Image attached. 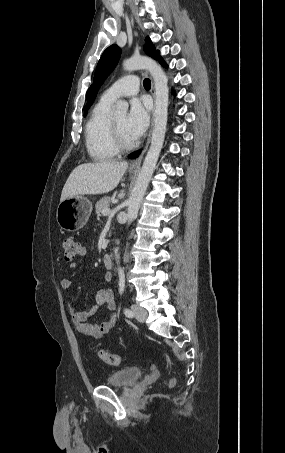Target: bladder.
Instances as JSON below:
<instances>
[{
	"label": "bladder",
	"mask_w": 285,
	"mask_h": 453,
	"mask_svg": "<svg viewBox=\"0 0 285 453\" xmlns=\"http://www.w3.org/2000/svg\"><path fill=\"white\" fill-rule=\"evenodd\" d=\"M142 375L143 370L140 367H126L109 373L105 383L112 387H128L138 381Z\"/></svg>",
	"instance_id": "31cf9c89"
}]
</instances>
